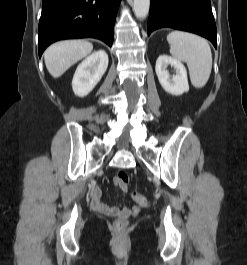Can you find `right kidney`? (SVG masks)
<instances>
[{
    "label": "right kidney",
    "mask_w": 247,
    "mask_h": 265,
    "mask_svg": "<svg viewBox=\"0 0 247 265\" xmlns=\"http://www.w3.org/2000/svg\"><path fill=\"white\" fill-rule=\"evenodd\" d=\"M108 67V55L98 50L84 59L76 69L72 80L74 94L88 95L101 80Z\"/></svg>",
    "instance_id": "1"
}]
</instances>
